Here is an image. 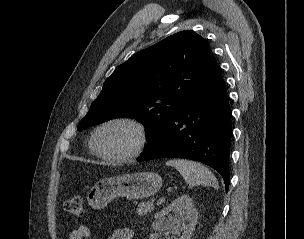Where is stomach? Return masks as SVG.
<instances>
[{
    "mask_svg": "<svg viewBox=\"0 0 304 239\" xmlns=\"http://www.w3.org/2000/svg\"><path fill=\"white\" fill-rule=\"evenodd\" d=\"M162 185L155 172H137L100 180L87 194L88 204L95 209L104 208L112 199L126 197L142 199L154 195Z\"/></svg>",
    "mask_w": 304,
    "mask_h": 239,
    "instance_id": "obj_1",
    "label": "stomach"
}]
</instances>
